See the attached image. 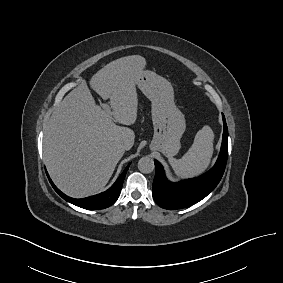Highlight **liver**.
I'll return each instance as SVG.
<instances>
[{
  "label": "liver",
  "mask_w": 283,
  "mask_h": 283,
  "mask_svg": "<svg viewBox=\"0 0 283 283\" xmlns=\"http://www.w3.org/2000/svg\"><path fill=\"white\" fill-rule=\"evenodd\" d=\"M146 66L142 56L114 60L94 74L90 85L103 100L108 113L95 103L86 83L73 89L52 113L44 131L43 154L54 183L65 194L83 198L104 189L119 160L123 143L129 150L134 131L118 126L137 119V80Z\"/></svg>",
  "instance_id": "6515ba94"
}]
</instances>
